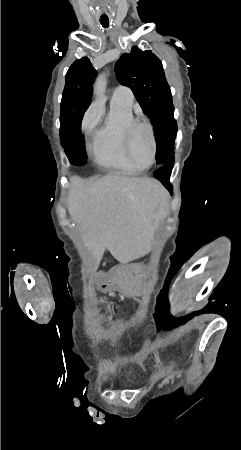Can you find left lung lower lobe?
Masks as SVG:
<instances>
[{
  "instance_id": "0a47b994",
  "label": "left lung lower lobe",
  "mask_w": 241,
  "mask_h": 450,
  "mask_svg": "<svg viewBox=\"0 0 241 450\" xmlns=\"http://www.w3.org/2000/svg\"><path fill=\"white\" fill-rule=\"evenodd\" d=\"M174 163V157L169 163L163 164L165 167L155 172V177L170 191L172 192L173 187L169 183V177L171 174V166Z\"/></svg>"
}]
</instances>
